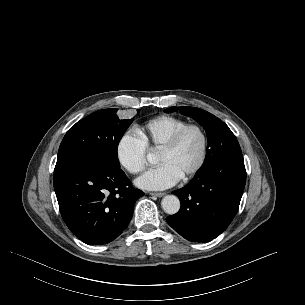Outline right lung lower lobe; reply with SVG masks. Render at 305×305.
<instances>
[{
	"label": "right lung lower lobe",
	"mask_w": 305,
	"mask_h": 305,
	"mask_svg": "<svg viewBox=\"0 0 305 305\" xmlns=\"http://www.w3.org/2000/svg\"><path fill=\"white\" fill-rule=\"evenodd\" d=\"M54 189L64 222L89 245L118 237L132 218L136 200L144 195L121 169L94 161L56 165Z\"/></svg>",
	"instance_id": "1"
}]
</instances>
